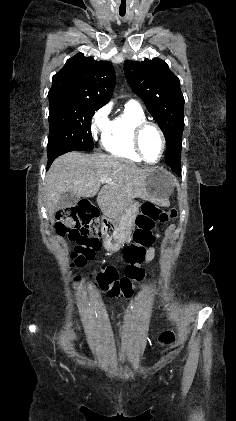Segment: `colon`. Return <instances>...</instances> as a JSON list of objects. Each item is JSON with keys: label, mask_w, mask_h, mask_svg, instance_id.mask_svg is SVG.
<instances>
[{"label": "colon", "mask_w": 236, "mask_h": 421, "mask_svg": "<svg viewBox=\"0 0 236 421\" xmlns=\"http://www.w3.org/2000/svg\"><path fill=\"white\" fill-rule=\"evenodd\" d=\"M177 213L176 208L164 209L151 202L142 205L141 212L136 218L134 241L124 251L128 264L125 275L120 277L116 268L111 265L101 266L93 273L99 287L106 291L109 297L132 295L134 284L144 275L140 265L146 257V249L155 242L152 230L157 223L175 218ZM56 229L58 234L76 242L71 256L73 266L85 264L100 249L101 224L89 217L84 208L68 207L59 211ZM174 340L172 331L163 332L159 338L164 347L171 346Z\"/></svg>", "instance_id": "1"}]
</instances>
